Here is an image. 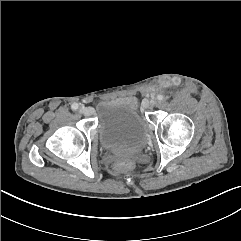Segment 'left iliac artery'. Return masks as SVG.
I'll list each match as a JSON object with an SVG mask.
<instances>
[{
  "instance_id": "1",
  "label": "left iliac artery",
  "mask_w": 241,
  "mask_h": 241,
  "mask_svg": "<svg viewBox=\"0 0 241 241\" xmlns=\"http://www.w3.org/2000/svg\"><path fill=\"white\" fill-rule=\"evenodd\" d=\"M157 99H158L159 101H162V100H163V96H162V95H158V96H157Z\"/></svg>"
}]
</instances>
